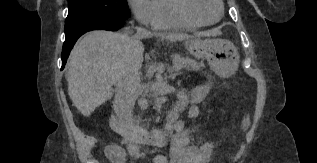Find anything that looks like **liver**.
I'll return each mask as SVG.
<instances>
[{
  "label": "liver",
  "instance_id": "obj_1",
  "mask_svg": "<svg viewBox=\"0 0 317 163\" xmlns=\"http://www.w3.org/2000/svg\"><path fill=\"white\" fill-rule=\"evenodd\" d=\"M152 36L171 42L192 38L187 34L147 32L138 36L104 30L83 36L70 54L66 74L68 94L81 114L89 116L111 99L113 86L128 68L139 71L144 53L141 39Z\"/></svg>",
  "mask_w": 317,
  "mask_h": 163
}]
</instances>
